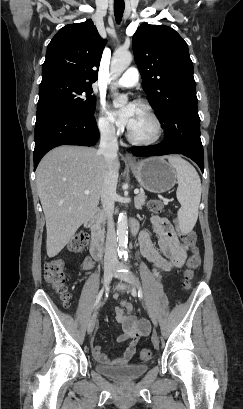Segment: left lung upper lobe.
I'll use <instances>...</instances> for the list:
<instances>
[{
	"mask_svg": "<svg viewBox=\"0 0 243 409\" xmlns=\"http://www.w3.org/2000/svg\"><path fill=\"white\" fill-rule=\"evenodd\" d=\"M132 43L143 90L160 123L178 107L197 102L188 46L174 29L144 23Z\"/></svg>",
	"mask_w": 243,
	"mask_h": 409,
	"instance_id": "1",
	"label": "left lung upper lobe"
}]
</instances>
